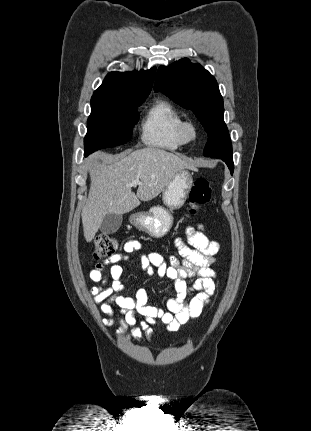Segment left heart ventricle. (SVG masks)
I'll list each match as a JSON object with an SVG mask.
<instances>
[{
    "instance_id": "1",
    "label": "left heart ventricle",
    "mask_w": 311,
    "mask_h": 431,
    "mask_svg": "<svg viewBox=\"0 0 311 431\" xmlns=\"http://www.w3.org/2000/svg\"><path fill=\"white\" fill-rule=\"evenodd\" d=\"M188 133L190 136H194L195 135V129L193 126H189L188 127Z\"/></svg>"
}]
</instances>
